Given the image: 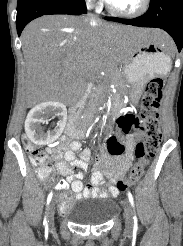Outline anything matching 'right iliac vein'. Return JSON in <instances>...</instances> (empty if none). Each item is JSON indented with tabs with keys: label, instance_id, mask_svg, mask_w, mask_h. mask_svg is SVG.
Returning <instances> with one entry per match:
<instances>
[{
	"label": "right iliac vein",
	"instance_id": "63e3f726",
	"mask_svg": "<svg viewBox=\"0 0 183 246\" xmlns=\"http://www.w3.org/2000/svg\"><path fill=\"white\" fill-rule=\"evenodd\" d=\"M54 215H55V206H54V202L52 201L48 208V226L50 228H53L54 226Z\"/></svg>",
	"mask_w": 183,
	"mask_h": 246
}]
</instances>
